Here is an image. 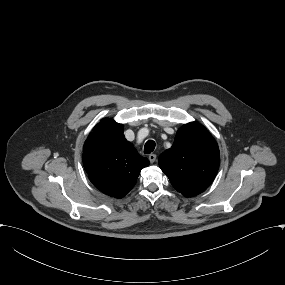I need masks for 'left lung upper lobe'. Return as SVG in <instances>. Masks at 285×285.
<instances>
[{"label": "left lung upper lobe", "mask_w": 285, "mask_h": 285, "mask_svg": "<svg viewBox=\"0 0 285 285\" xmlns=\"http://www.w3.org/2000/svg\"><path fill=\"white\" fill-rule=\"evenodd\" d=\"M158 162L172 186L190 197L206 190L214 180L219 148L204 126L190 122L177 131L173 146L159 156Z\"/></svg>", "instance_id": "left-lung-upper-lobe-1"}]
</instances>
